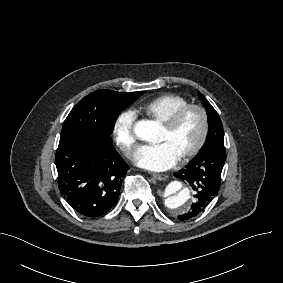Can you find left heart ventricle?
Segmentation results:
<instances>
[{
	"label": "left heart ventricle",
	"instance_id": "left-heart-ventricle-1",
	"mask_svg": "<svg viewBox=\"0 0 283 283\" xmlns=\"http://www.w3.org/2000/svg\"><path fill=\"white\" fill-rule=\"evenodd\" d=\"M202 122L200 115L192 110L186 113L172 131L163 126L156 142H166L181 157L192 149L200 139Z\"/></svg>",
	"mask_w": 283,
	"mask_h": 283
}]
</instances>
